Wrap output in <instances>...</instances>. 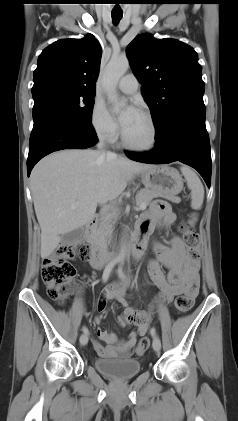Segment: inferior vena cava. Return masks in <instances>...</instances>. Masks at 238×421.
<instances>
[{
    "label": "inferior vena cava",
    "mask_w": 238,
    "mask_h": 421,
    "mask_svg": "<svg viewBox=\"0 0 238 421\" xmlns=\"http://www.w3.org/2000/svg\"><path fill=\"white\" fill-rule=\"evenodd\" d=\"M97 147H98V149H99V150H101V151H102V153H105V152H104V137H103L102 135H100V136H99V142H98V144H97ZM107 155L112 156V155H114V154H113V153H111V152H107Z\"/></svg>",
    "instance_id": "1"
}]
</instances>
